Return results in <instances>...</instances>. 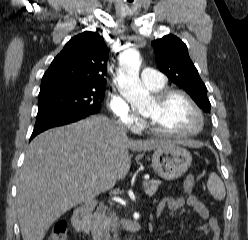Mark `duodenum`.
I'll return each instance as SVG.
<instances>
[{
    "label": "duodenum",
    "mask_w": 248,
    "mask_h": 240,
    "mask_svg": "<svg viewBox=\"0 0 248 240\" xmlns=\"http://www.w3.org/2000/svg\"><path fill=\"white\" fill-rule=\"evenodd\" d=\"M95 207L96 202L94 200L86 201L75 210L73 215L74 228L81 233L87 234L89 240H100L91 231L90 215Z\"/></svg>",
    "instance_id": "obj_1"
}]
</instances>
